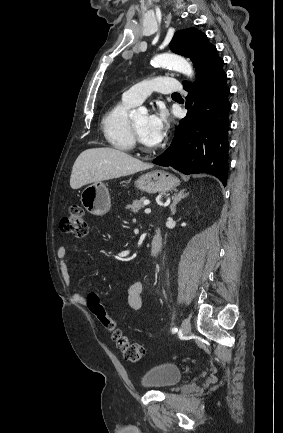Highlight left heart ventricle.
Wrapping results in <instances>:
<instances>
[{"label": "left heart ventricle", "mask_w": 283, "mask_h": 433, "mask_svg": "<svg viewBox=\"0 0 283 433\" xmlns=\"http://www.w3.org/2000/svg\"><path fill=\"white\" fill-rule=\"evenodd\" d=\"M147 122H148V116L147 115L140 117L138 120H136L134 122L140 137L143 134V132L145 131Z\"/></svg>", "instance_id": "b2bd125f"}]
</instances>
